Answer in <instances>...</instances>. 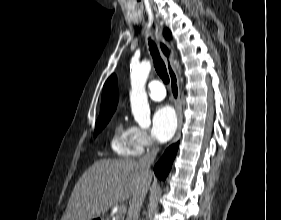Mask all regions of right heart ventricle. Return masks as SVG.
Returning a JSON list of instances; mask_svg holds the SVG:
<instances>
[{
	"instance_id": "e07e8e85",
	"label": "right heart ventricle",
	"mask_w": 281,
	"mask_h": 220,
	"mask_svg": "<svg viewBox=\"0 0 281 220\" xmlns=\"http://www.w3.org/2000/svg\"><path fill=\"white\" fill-rule=\"evenodd\" d=\"M111 148L121 156L138 155L139 152L133 143L132 127H127L119 121L111 139Z\"/></svg>"
}]
</instances>
